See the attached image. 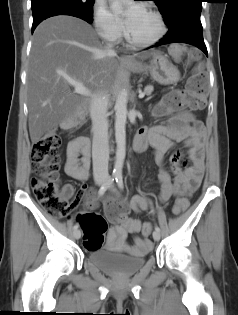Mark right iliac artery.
I'll return each instance as SVG.
<instances>
[{
  "instance_id": "82829eb1",
  "label": "right iliac artery",
  "mask_w": 238,
  "mask_h": 315,
  "mask_svg": "<svg viewBox=\"0 0 238 315\" xmlns=\"http://www.w3.org/2000/svg\"><path fill=\"white\" fill-rule=\"evenodd\" d=\"M114 179H116V174H112V176H110L108 178V180L100 187L98 194L99 195H103L105 193V191L107 190V188L113 183ZM79 227L78 224L74 225V230H76Z\"/></svg>"
}]
</instances>
